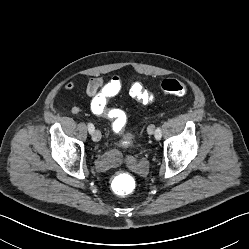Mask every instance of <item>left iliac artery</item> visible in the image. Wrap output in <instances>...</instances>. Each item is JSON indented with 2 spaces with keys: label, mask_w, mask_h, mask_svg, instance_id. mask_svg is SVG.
<instances>
[{
  "label": "left iliac artery",
  "mask_w": 249,
  "mask_h": 249,
  "mask_svg": "<svg viewBox=\"0 0 249 249\" xmlns=\"http://www.w3.org/2000/svg\"><path fill=\"white\" fill-rule=\"evenodd\" d=\"M161 128L160 127H157L156 130H155V139L156 140H160L161 139Z\"/></svg>",
  "instance_id": "1"
}]
</instances>
